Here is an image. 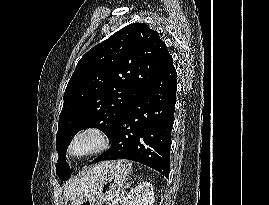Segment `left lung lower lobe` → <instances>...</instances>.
<instances>
[{
	"label": "left lung lower lobe",
	"instance_id": "obj_1",
	"mask_svg": "<svg viewBox=\"0 0 269 205\" xmlns=\"http://www.w3.org/2000/svg\"><path fill=\"white\" fill-rule=\"evenodd\" d=\"M176 75L170 55L156 78L121 115L108 136L109 150L91 163L128 159L169 176Z\"/></svg>",
	"mask_w": 269,
	"mask_h": 205
}]
</instances>
